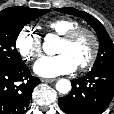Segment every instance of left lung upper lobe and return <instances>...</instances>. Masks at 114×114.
Masks as SVG:
<instances>
[{"mask_svg":"<svg viewBox=\"0 0 114 114\" xmlns=\"http://www.w3.org/2000/svg\"><path fill=\"white\" fill-rule=\"evenodd\" d=\"M57 11L82 17L97 32L99 51L92 70L114 68V44L104 26L92 15L83 11H78L74 8H58Z\"/></svg>","mask_w":114,"mask_h":114,"instance_id":"left-lung-upper-lobe-1","label":"left lung upper lobe"}]
</instances>
